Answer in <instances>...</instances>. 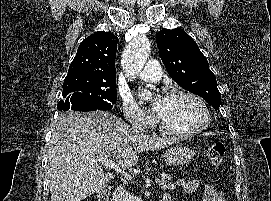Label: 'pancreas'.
I'll return each mask as SVG.
<instances>
[{
	"label": "pancreas",
	"mask_w": 271,
	"mask_h": 201,
	"mask_svg": "<svg viewBox=\"0 0 271 201\" xmlns=\"http://www.w3.org/2000/svg\"><path fill=\"white\" fill-rule=\"evenodd\" d=\"M160 185L163 190H173L176 188V185L170 182V176L166 174L162 175Z\"/></svg>",
	"instance_id": "pancreas-1"
}]
</instances>
